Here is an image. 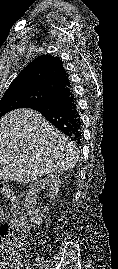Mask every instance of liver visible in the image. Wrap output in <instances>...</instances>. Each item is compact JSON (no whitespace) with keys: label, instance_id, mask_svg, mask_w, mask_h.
Returning a JSON list of instances; mask_svg holds the SVG:
<instances>
[{"label":"liver","instance_id":"obj_1","mask_svg":"<svg viewBox=\"0 0 118 269\" xmlns=\"http://www.w3.org/2000/svg\"><path fill=\"white\" fill-rule=\"evenodd\" d=\"M78 159L75 144L37 111L17 109L0 119V180L29 183L71 170Z\"/></svg>","mask_w":118,"mask_h":269}]
</instances>
